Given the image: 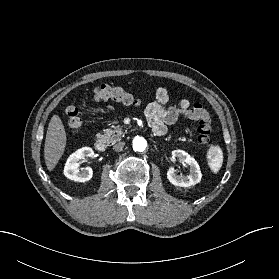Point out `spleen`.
<instances>
[{
	"label": "spleen",
	"mask_w": 279,
	"mask_h": 279,
	"mask_svg": "<svg viewBox=\"0 0 279 279\" xmlns=\"http://www.w3.org/2000/svg\"><path fill=\"white\" fill-rule=\"evenodd\" d=\"M210 167L214 173H217L223 163V152L219 146L211 147Z\"/></svg>",
	"instance_id": "1"
}]
</instances>
